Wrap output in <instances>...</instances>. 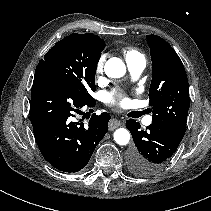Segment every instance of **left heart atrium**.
Here are the masks:
<instances>
[{
  "mask_svg": "<svg viewBox=\"0 0 211 211\" xmlns=\"http://www.w3.org/2000/svg\"><path fill=\"white\" fill-rule=\"evenodd\" d=\"M107 101L111 104H116L119 106H126L129 103V99L126 96H121L115 94V92L108 93L107 96Z\"/></svg>",
  "mask_w": 211,
  "mask_h": 211,
  "instance_id": "obj_1",
  "label": "left heart atrium"
}]
</instances>
